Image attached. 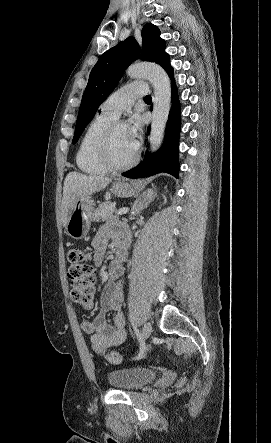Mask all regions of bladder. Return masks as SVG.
<instances>
[{"mask_svg":"<svg viewBox=\"0 0 271 443\" xmlns=\"http://www.w3.org/2000/svg\"><path fill=\"white\" fill-rule=\"evenodd\" d=\"M156 372L145 367H127L112 370L107 377L111 387L117 390H135L151 382Z\"/></svg>","mask_w":271,"mask_h":443,"instance_id":"bladder-1","label":"bladder"}]
</instances>
